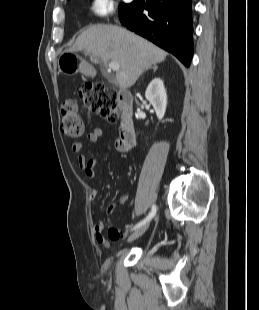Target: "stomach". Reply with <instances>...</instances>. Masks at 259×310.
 Returning <instances> with one entry per match:
<instances>
[{
    "label": "stomach",
    "mask_w": 259,
    "mask_h": 310,
    "mask_svg": "<svg viewBox=\"0 0 259 310\" xmlns=\"http://www.w3.org/2000/svg\"><path fill=\"white\" fill-rule=\"evenodd\" d=\"M59 71L66 74H74L81 72L83 74H90L91 67L81 59L76 51L65 50L58 59Z\"/></svg>",
    "instance_id": "1"
}]
</instances>
